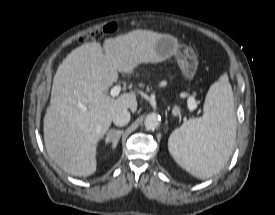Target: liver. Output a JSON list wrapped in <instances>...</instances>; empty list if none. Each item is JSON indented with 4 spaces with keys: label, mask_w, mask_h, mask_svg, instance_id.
<instances>
[{
    "label": "liver",
    "mask_w": 275,
    "mask_h": 215,
    "mask_svg": "<svg viewBox=\"0 0 275 215\" xmlns=\"http://www.w3.org/2000/svg\"><path fill=\"white\" fill-rule=\"evenodd\" d=\"M162 36L133 30L106 39L103 47L85 43L59 65L44 117V142L49 157L66 173L86 177L96 171L97 145L113 116L137 110L134 92L112 98L108 89L118 80V71L132 74L139 64L159 62L155 45Z\"/></svg>",
    "instance_id": "1"
}]
</instances>
